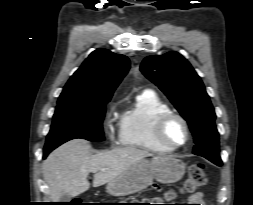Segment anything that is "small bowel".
<instances>
[{
  "mask_svg": "<svg viewBox=\"0 0 253 205\" xmlns=\"http://www.w3.org/2000/svg\"><path fill=\"white\" fill-rule=\"evenodd\" d=\"M190 203H193L191 205H209L205 199L202 192H196L189 196L188 198Z\"/></svg>",
  "mask_w": 253,
  "mask_h": 205,
  "instance_id": "c3829d8e",
  "label": "small bowel"
}]
</instances>
